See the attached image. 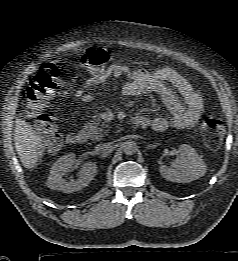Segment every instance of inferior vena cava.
<instances>
[{"label": "inferior vena cava", "instance_id": "602c4592", "mask_svg": "<svg viewBox=\"0 0 238 261\" xmlns=\"http://www.w3.org/2000/svg\"><path fill=\"white\" fill-rule=\"evenodd\" d=\"M109 147H110V144H109V143L98 144V145L95 147V151H96V152H103V151L108 150Z\"/></svg>", "mask_w": 238, "mask_h": 261}]
</instances>
